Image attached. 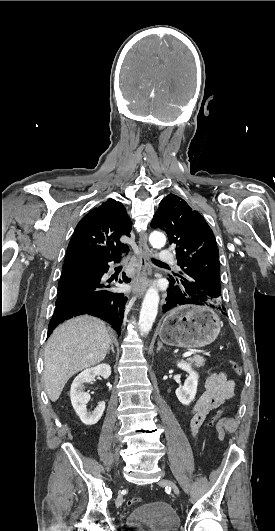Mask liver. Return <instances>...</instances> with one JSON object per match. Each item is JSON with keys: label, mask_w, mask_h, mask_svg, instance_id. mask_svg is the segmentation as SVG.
Wrapping results in <instances>:
<instances>
[{"label": "liver", "mask_w": 275, "mask_h": 531, "mask_svg": "<svg viewBox=\"0 0 275 531\" xmlns=\"http://www.w3.org/2000/svg\"><path fill=\"white\" fill-rule=\"evenodd\" d=\"M111 339L103 321L76 317L53 331L44 353V381L50 401L59 399L75 373L94 367L105 359Z\"/></svg>", "instance_id": "obj_1"}]
</instances>
